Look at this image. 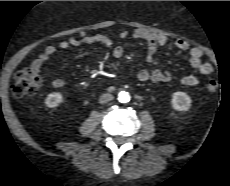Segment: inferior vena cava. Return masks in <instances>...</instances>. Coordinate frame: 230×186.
<instances>
[{
	"instance_id": "602c4592",
	"label": "inferior vena cava",
	"mask_w": 230,
	"mask_h": 186,
	"mask_svg": "<svg viewBox=\"0 0 230 186\" xmlns=\"http://www.w3.org/2000/svg\"><path fill=\"white\" fill-rule=\"evenodd\" d=\"M113 95L110 93H104L100 96L99 98V103L104 104V103H108L111 100H113Z\"/></svg>"
}]
</instances>
